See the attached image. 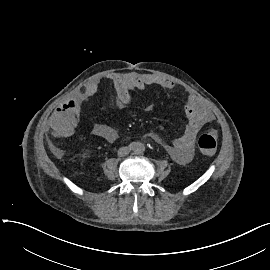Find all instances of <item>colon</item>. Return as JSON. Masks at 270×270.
I'll list each match as a JSON object with an SVG mask.
<instances>
[{"label": "colon", "instance_id": "1", "mask_svg": "<svg viewBox=\"0 0 270 270\" xmlns=\"http://www.w3.org/2000/svg\"><path fill=\"white\" fill-rule=\"evenodd\" d=\"M218 145L217 136L214 132H207L199 136L197 140V146L199 152L203 155H212Z\"/></svg>", "mask_w": 270, "mask_h": 270}]
</instances>
